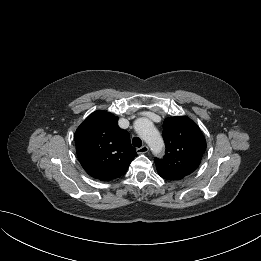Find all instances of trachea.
<instances>
[{"label":"trachea","instance_id":"1","mask_svg":"<svg viewBox=\"0 0 261 261\" xmlns=\"http://www.w3.org/2000/svg\"><path fill=\"white\" fill-rule=\"evenodd\" d=\"M132 144L133 146L140 148L142 146V140L139 137H134L132 139Z\"/></svg>","mask_w":261,"mask_h":261}]
</instances>
